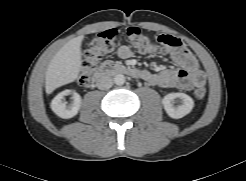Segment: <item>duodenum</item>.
<instances>
[{"instance_id":"410a0bca","label":"duodenum","mask_w":246,"mask_h":181,"mask_svg":"<svg viewBox=\"0 0 246 181\" xmlns=\"http://www.w3.org/2000/svg\"><path fill=\"white\" fill-rule=\"evenodd\" d=\"M109 74H124L132 78H141L143 75L141 70L116 63L106 62L99 69L96 70L93 75L92 81L94 83L101 82Z\"/></svg>"}]
</instances>
